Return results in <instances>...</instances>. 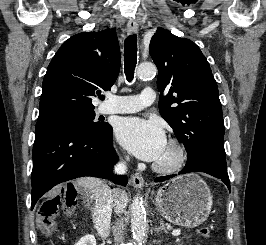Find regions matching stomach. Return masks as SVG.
<instances>
[{
  "label": "stomach",
  "mask_w": 266,
  "mask_h": 245,
  "mask_svg": "<svg viewBox=\"0 0 266 245\" xmlns=\"http://www.w3.org/2000/svg\"><path fill=\"white\" fill-rule=\"evenodd\" d=\"M163 219L194 229L207 221L213 205L212 193L205 181L190 173L169 181L159 189L154 201Z\"/></svg>",
  "instance_id": "1"
}]
</instances>
